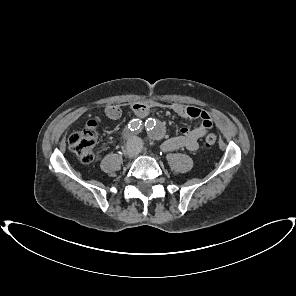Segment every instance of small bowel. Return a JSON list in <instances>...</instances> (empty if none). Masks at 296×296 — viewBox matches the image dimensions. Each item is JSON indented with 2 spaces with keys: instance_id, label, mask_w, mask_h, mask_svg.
Wrapping results in <instances>:
<instances>
[{
  "instance_id": "small-bowel-1",
  "label": "small bowel",
  "mask_w": 296,
  "mask_h": 296,
  "mask_svg": "<svg viewBox=\"0 0 296 296\" xmlns=\"http://www.w3.org/2000/svg\"><path fill=\"white\" fill-rule=\"evenodd\" d=\"M168 107L174 113L185 118H200L201 123L195 128L183 127L180 135L164 141L162 148L165 151L187 149L196 151L199 148V140L204 137L213 127V119L209 112L200 108L178 103L162 105L153 101H139L132 105L134 114L139 118L146 117L155 107ZM105 114L110 120H118L122 116V110L117 105H108Z\"/></svg>"
}]
</instances>
